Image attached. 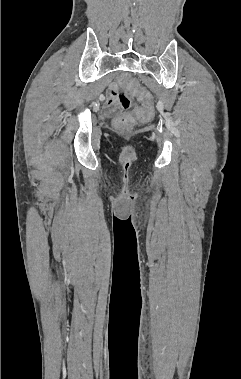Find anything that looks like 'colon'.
I'll list each match as a JSON object with an SVG mask.
<instances>
[{
	"label": "colon",
	"instance_id": "obj_1",
	"mask_svg": "<svg viewBox=\"0 0 241 379\" xmlns=\"http://www.w3.org/2000/svg\"><path fill=\"white\" fill-rule=\"evenodd\" d=\"M143 96L144 97L140 98V103L143 104L142 106L136 107L133 113H125L115 120L117 127L122 129H129L136 123L138 119L150 116L152 110L155 109V104L149 103L147 94L144 93ZM116 97L120 106L124 110H128L132 107V101L126 94L117 93Z\"/></svg>",
	"mask_w": 241,
	"mask_h": 379
}]
</instances>
